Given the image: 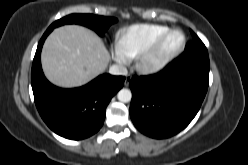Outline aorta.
Instances as JSON below:
<instances>
[{"mask_svg": "<svg viewBox=\"0 0 248 165\" xmlns=\"http://www.w3.org/2000/svg\"><path fill=\"white\" fill-rule=\"evenodd\" d=\"M117 98L120 102L127 103L131 100L132 93L128 89H121L117 94Z\"/></svg>", "mask_w": 248, "mask_h": 165, "instance_id": "obj_1", "label": "aorta"}]
</instances>
